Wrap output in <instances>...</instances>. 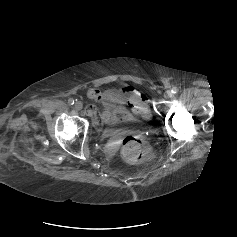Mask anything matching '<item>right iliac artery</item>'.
Returning <instances> with one entry per match:
<instances>
[{"mask_svg":"<svg viewBox=\"0 0 237 237\" xmlns=\"http://www.w3.org/2000/svg\"><path fill=\"white\" fill-rule=\"evenodd\" d=\"M74 102H75V101H74V99H73V98H69V99H68V103H69L70 105H73V104H74Z\"/></svg>","mask_w":237,"mask_h":237,"instance_id":"obj_1","label":"right iliac artery"}]
</instances>
